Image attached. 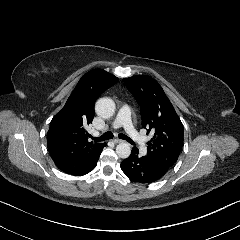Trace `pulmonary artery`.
Wrapping results in <instances>:
<instances>
[{"label":"pulmonary artery","instance_id":"obj_1","mask_svg":"<svg viewBox=\"0 0 240 240\" xmlns=\"http://www.w3.org/2000/svg\"><path fill=\"white\" fill-rule=\"evenodd\" d=\"M129 118H130V108L128 106H125L123 110L120 112V114L117 116V119L114 121V124L116 126L123 124L127 133L131 136V138L139 141L138 148L144 149L145 142L148 140V135L138 133L136 131V128L134 127V124L132 123V120Z\"/></svg>","mask_w":240,"mask_h":240}]
</instances>
